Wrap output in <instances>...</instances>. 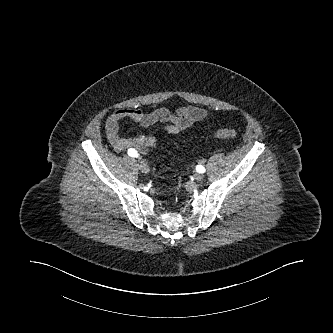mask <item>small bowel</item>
<instances>
[{"instance_id":"1","label":"small bowel","mask_w":333,"mask_h":333,"mask_svg":"<svg viewBox=\"0 0 333 333\" xmlns=\"http://www.w3.org/2000/svg\"><path fill=\"white\" fill-rule=\"evenodd\" d=\"M207 118V113L198 107L183 106L175 110L165 107L143 112L137 108H122L113 111L105 122L108 141L115 151L123 152L129 149L145 152L154 148L157 139L152 133L139 134L134 137H122L119 134V124L130 120L143 128H150L158 123L164 125V130L171 134H179L190 128L194 123Z\"/></svg>"}]
</instances>
